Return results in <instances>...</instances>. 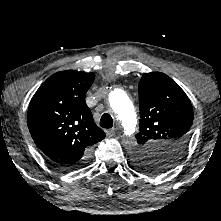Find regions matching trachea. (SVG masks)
<instances>
[{
  "label": "trachea",
  "instance_id": "1",
  "mask_svg": "<svg viewBox=\"0 0 221 221\" xmlns=\"http://www.w3.org/2000/svg\"><path fill=\"white\" fill-rule=\"evenodd\" d=\"M100 126L102 128H111L113 126V119L110 114L105 113L100 119Z\"/></svg>",
  "mask_w": 221,
  "mask_h": 221
}]
</instances>
